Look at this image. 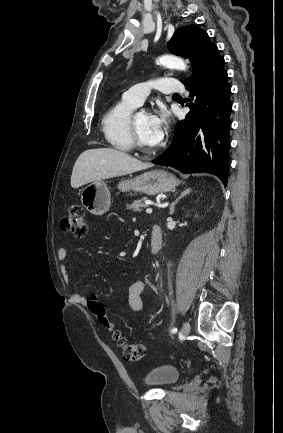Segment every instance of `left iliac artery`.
<instances>
[{"label": "left iliac artery", "mask_w": 283, "mask_h": 433, "mask_svg": "<svg viewBox=\"0 0 283 433\" xmlns=\"http://www.w3.org/2000/svg\"><path fill=\"white\" fill-rule=\"evenodd\" d=\"M171 332H172V333H176V332H177V328H173V329L171 330Z\"/></svg>", "instance_id": "44dca946"}]
</instances>
